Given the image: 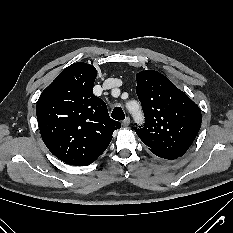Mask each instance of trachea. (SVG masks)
Listing matches in <instances>:
<instances>
[{
  "label": "trachea",
  "mask_w": 233,
  "mask_h": 233,
  "mask_svg": "<svg viewBox=\"0 0 233 233\" xmlns=\"http://www.w3.org/2000/svg\"><path fill=\"white\" fill-rule=\"evenodd\" d=\"M112 118L118 121L124 120L125 119V114L120 107H115L112 111L111 114Z\"/></svg>",
  "instance_id": "1"
}]
</instances>
